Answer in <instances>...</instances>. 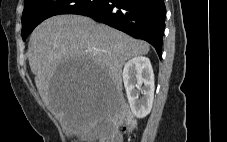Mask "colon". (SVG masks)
Instances as JSON below:
<instances>
[{
	"label": "colon",
	"instance_id": "1",
	"mask_svg": "<svg viewBox=\"0 0 227 142\" xmlns=\"http://www.w3.org/2000/svg\"><path fill=\"white\" fill-rule=\"evenodd\" d=\"M135 120L124 111H119L104 125L99 142H122L120 127L124 132L132 131L135 128Z\"/></svg>",
	"mask_w": 227,
	"mask_h": 142
}]
</instances>
